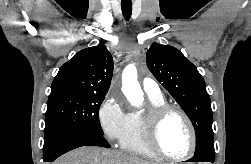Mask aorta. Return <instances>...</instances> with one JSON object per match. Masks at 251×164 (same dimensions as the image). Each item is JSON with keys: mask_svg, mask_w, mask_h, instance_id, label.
<instances>
[{"mask_svg": "<svg viewBox=\"0 0 251 164\" xmlns=\"http://www.w3.org/2000/svg\"><path fill=\"white\" fill-rule=\"evenodd\" d=\"M122 91L131 105L138 107L143 103V91L137 80V69L134 63L123 70Z\"/></svg>", "mask_w": 251, "mask_h": 164, "instance_id": "aorta-1", "label": "aorta"}]
</instances>
